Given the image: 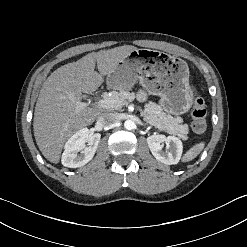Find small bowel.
<instances>
[{
	"instance_id": "c3829d8e",
	"label": "small bowel",
	"mask_w": 247,
	"mask_h": 247,
	"mask_svg": "<svg viewBox=\"0 0 247 247\" xmlns=\"http://www.w3.org/2000/svg\"><path fill=\"white\" fill-rule=\"evenodd\" d=\"M144 97H145L144 93L143 92H140L139 93V98L142 100V99H144Z\"/></svg>"
}]
</instances>
